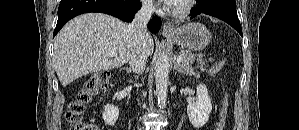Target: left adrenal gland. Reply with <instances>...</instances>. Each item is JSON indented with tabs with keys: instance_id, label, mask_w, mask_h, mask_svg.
<instances>
[{
	"instance_id": "obj_1",
	"label": "left adrenal gland",
	"mask_w": 299,
	"mask_h": 130,
	"mask_svg": "<svg viewBox=\"0 0 299 130\" xmlns=\"http://www.w3.org/2000/svg\"><path fill=\"white\" fill-rule=\"evenodd\" d=\"M174 70H175V71H178V72H180V73L184 72V71L181 69L180 65H178V64H175V66H174Z\"/></svg>"
}]
</instances>
